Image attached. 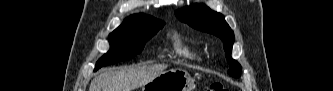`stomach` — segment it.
<instances>
[{
	"mask_svg": "<svg viewBox=\"0 0 333 91\" xmlns=\"http://www.w3.org/2000/svg\"><path fill=\"white\" fill-rule=\"evenodd\" d=\"M191 76L181 68H173L157 75L142 86V91H194Z\"/></svg>",
	"mask_w": 333,
	"mask_h": 91,
	"instance_id": "stomach-1",
	"label": "stomach"
}]
</instances>
